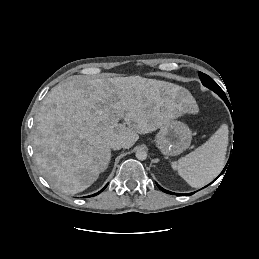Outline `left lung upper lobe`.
I'll use <instances>...</instances> for the list:
<instances>
[{
    "instance_id": "left-lung-upper-lobe-1",
    "label": "left lung upper lobe",
    "mask_w": 259,
    "mask_h": 259,
    "mask_svg": "<svg viewBox=\"0 0 259 259\" xmlns=\"http://www.w3.org/2000/svg\"><path fill=\"white\" fill-rule=\"evenodd\" d=\"M198 74L204 86L213 90L217 94L223 92V90L218 86V84L214 82L208 75L202 72H198Z\"/></svg>"
}]
</instances>
